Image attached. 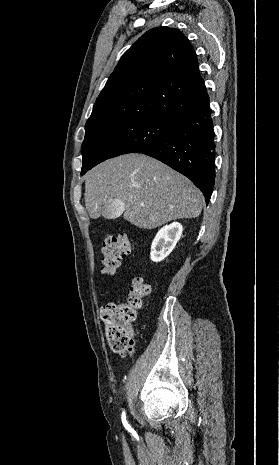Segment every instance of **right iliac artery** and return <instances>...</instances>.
I'll use <instances>...</instances> for the list:
<instances>
[{"instance_id": "1", "label": "right iliac artery", "mask_w": 279, "mask_h": 465, "mask_svg": "<svg viewBox=\"0 0 279 465\" xmlns=\"http://www.w3.org/2000/svg\"><path fill=\"white\" fill-rule=\"evenodd\" d=\"M122 417H125V413L123 412Z\"/></svg>"}]
</instances>
